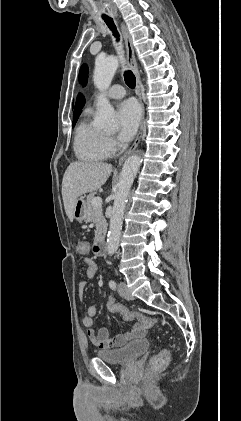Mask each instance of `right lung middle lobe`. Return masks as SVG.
I'll return each mask as SVG.
<instances>
[{"label":"right lung middle lobe","mask_w":241,"mask_h":421,"mask_svg":"<svg viewBox=\"0 0 241 421\" xmlns=\"http://www.w3.org/2000/svg\"><path fill=\"white\" fill-rule=\"evenodd\" d=\"M77 119H78V118H74V122L72 123V127H74V125H75V123H76Z\"/></svg>","instance_id":"obj_1"}]
</instances>
